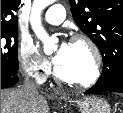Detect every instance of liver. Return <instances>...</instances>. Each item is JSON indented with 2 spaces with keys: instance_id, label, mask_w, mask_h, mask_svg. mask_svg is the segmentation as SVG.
<instances>
[{
  "instance_id": "6515ba94",
  "label": "liver",
  "mask_w": 123,
  "mask_h": 113,
  "mask_svg": "<svg viewBox=\"0 0 123 113\" xmlns=\"http://www.w3.org/2000/svg\"><path fill=\"white\" fill-rule=\"evenodd\" d=\"M41 95L26 94L22 89L1 90V113H48Z\"/></svg>"
}]
</instances>
